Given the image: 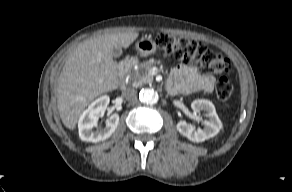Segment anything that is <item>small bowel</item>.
<instances>
[{
	"mask_svg": "<svg viewBox=\"0 0 292 192\" xmlns=\"http://www.w3.org/2000/svg\"><path fill=\"white\" fill-rule=\"evenodd\" d=\"M215 78L201 74L197 68L178 65L173 69L167 82V89L172 94H188L197 91L211 92Z\"/></svg>",
	"mask_w": 292,
	"mask_h": 192,
	"instance_id": "1",
	"label": "small bowel"
}]
</instances>
